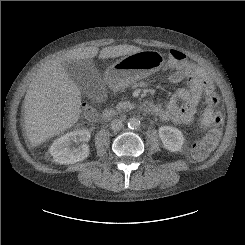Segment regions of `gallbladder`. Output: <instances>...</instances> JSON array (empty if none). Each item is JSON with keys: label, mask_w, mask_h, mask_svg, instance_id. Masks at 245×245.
Instances as JSON below:
<instances>
[{"label": "gallbladder", "mask_w": 245, "mask_h": 245, "mask_svg": "<svg viewBox=\"0 0 245 245\" xmlns=\"http://www.w3.org/2000/svg\"><path fill=\"white\" fill-rule=\"evenodd\" d=\"M65 69L81 93L94 99L104 98L101 74L89 60L68 61L65 63Z\"/></svg>", "instance_id": "1"}]
</instances>
